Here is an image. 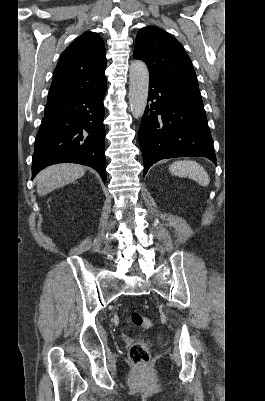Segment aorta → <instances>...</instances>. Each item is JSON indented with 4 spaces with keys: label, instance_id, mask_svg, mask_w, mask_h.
Returning a JSON list of instances; mask_svg holds the SVG:
<instances>
[{
    "label": "aorta",
    "instance_id": "aorta-1",
    "mask_svg": "<svg viewBox=\"0 0 265 401\" xmlns=\"http://www.w3.org/2000/svg\"><path fill=\"white\" fill-rule=\"evenodd\" d=\"M129 104L135 118L143 116L149 88V70L143 60H132L129 68Z\"/></svg>",
    "mask_w": 265,
    "mask_h": 401
}]
</instances>
